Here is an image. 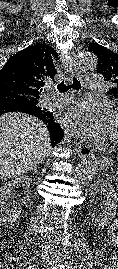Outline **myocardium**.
Instances as JSON below:
<instances>
[{
  "label": "myocardium",
  "instance_id": "1",
  "mask_svg": "<svg viewBox=\"0 0 118 269\" xmlns=\"http://www.w3.org/2000/svg\"><path fill=\"white\" fill-rule=\"evenodd\" d=\"M113 113L118 116V108H116ZM110 144L114 147H118V140H111Z\"/></svg>",
  "mask_w": 118,
  "mask_h": 269
}]
</instances>
